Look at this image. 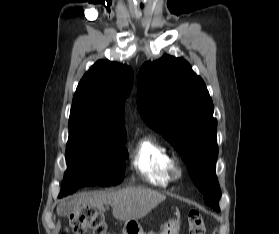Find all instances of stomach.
Returning <instances> with one entry per match:
<instances>
[{"label": "stomach", "instance_id": "stomach-1", "mask_svg": "<svg viewBox=\"0 0 279 234\" xmlns=\"http://www.w3.org/2000/svg\"><path fill=\"white\" fill-rule=\"evenodd\" d=\"M180 224L176 220H169L165 223L160 234H179ZM122 234H145L137 220L126 221Z\"/></svg>", "mask_w": 279, "mask_h": 234}]
</instances>
